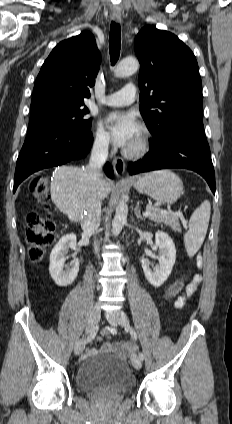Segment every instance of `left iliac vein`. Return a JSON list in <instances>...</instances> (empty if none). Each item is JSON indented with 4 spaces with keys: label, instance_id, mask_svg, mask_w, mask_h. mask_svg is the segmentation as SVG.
I'll return each mask as SVG.
<instances>
[{
    "label": "left iliac vein",
    "instance_id": "1",
    "mask_svg": "<svg viewBox=\"0 0 232 424\" xmlns=\"http://www.w3.org/2000/svg\"><path fill=\"white\" fill-rule=\"evenodd\" d=\"M106 318L113 325L119 324L122 326H127L129 322L127 315L125 314V312L121 310H116L113 312L106 313ZM131 361H132V365L136 369H140L142 367V361L136 355L132 356Z\"/></svg>",
    "mask_w": 232,
    "mask_h": 424
}]
</instances>
